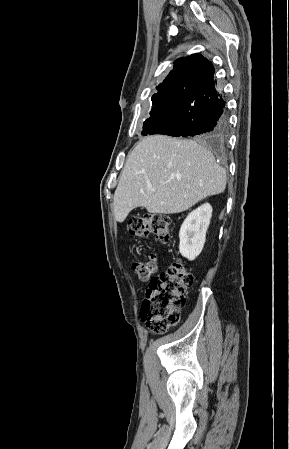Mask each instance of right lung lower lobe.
Here are the masks:
<instances>
[{
	"mask_svg": "<svg viewBox=\"0 0 289 449\" xmlns=\"http://www.w3.org/2000/svg\"><path fill=\"white\" fill-rule=\"evenodd\" d=\"M169 97L175 117L154 134L223 138L227 132L226 104L213 76L207 80H179Z\"/></svg>",
	"mask_w": 289,
	"mask_h": 449,
	"instance_id": "1",
	"label": "right lung lower lobe"
}]
</instances>
